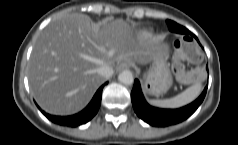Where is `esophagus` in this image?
Wrapping results in <instances>:
<instances>
[{
    "label": "esophagus",
    "mask_w": 238,
    "mask_h": 145,
    "mask_svg": "<svg viewBox=\"0 0 238 145\" xmlns=\"http://www.w3.org/2000/svg\"><path fill=\"white\" fill-rule=\"evenodd\" d=\"M131 66L130 62L128 61H123L119 64L118 66V70L121 71V70H126V69H129Z\"/></svg>",
    "instance_id": "34e87169"
}]
</instances>
